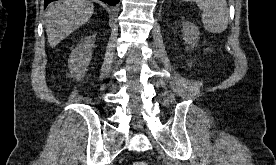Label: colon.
Returning a JSON list of instances; mask_svg holds the SVG:
<instances>
[{"label": "colon", "instance_id": "1", "mask_svg": "<svg viewBox=\"0 0 276 165\" xmlns=\"http://www.w3.org/2000/svg\"><path fill=\"white\" fill-rule=\"evenodd\" d=\"M132 165H148V164L144 161H136Z\"/></svg>", "mask_w": 276, "mask_h": 165}]
</instances>
